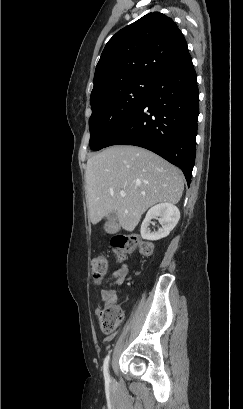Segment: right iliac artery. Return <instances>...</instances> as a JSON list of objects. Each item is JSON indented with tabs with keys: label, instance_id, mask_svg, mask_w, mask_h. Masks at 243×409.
<instances>
[{
	"label": "right iliac artery",
	"instance_id": "obj_1",
	"mask_svg": "<svg viewBox=\"0 0 243 409\" xmlns=\"http://www.w3.org/2000/svg\"><path fill=\"white\" fill-rule=\"evenodd\" d=\"M109 359H110V354L106 356V358L104 359V363H103V373H104L106 384L110 383V378H109V373H108Z\"/></svg>",
	"mask_w": 243,
	"mask_h": 409
}]
</instances>
